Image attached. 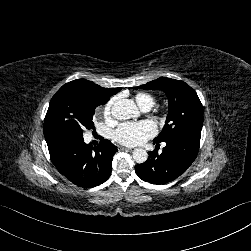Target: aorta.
Returning <instances> with one entry per match:
<instances>
[{
	"instance_id": "762f6f07",
	"label": "aorta",
	"mask_w": 251,
	"mask_h": 251,
	"mask_svg": "<svg viewBox=\"0 0 251 251\" xmlns=\"http://www.w3.org/2000/svg\"><path fill=\"white\" fill-rule=\"evenodd\" d=\"M111 114L118 120H126L138 117L140 115V111L131 99H121L113 104ZM132 155L135 162L139 164L144 163L148 158L147 151L142 148H135Z\"/></svg>"
}]
</instances>
